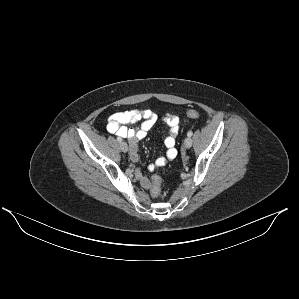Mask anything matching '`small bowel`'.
<instances>
[{
  "instance_id": "1",
  "label": "small bowel",
  "mask_w": 299,
  "mask_h": 299,
  "mask_svg": "<svg viewBox=\"0 0 299 299\" xmlns=\"http://www.w3.org/2000/svg\"><path fill=\"white\" fill-rule=\"evenodd\" d=\"M143 119V123L138 128H129L128 125ZM158 116L151 110H130L116 112L112 114L107 123V130L111 134L127 139L129 144L130 159L133 162L138 160V141L145 138L147 132L157 122ZM162 121L168 127V133L164 137V145L166 147L165 155L157 158L154 163L149 165V170L153 171L164 166L168 161H172L177 157L176 136L179 132L181 119L178 116L167 114ZM136 177L140 180L145 188L150 187L149 178L142 173L140 169L135 171Z\"/></svg>"
}]
</instances>
